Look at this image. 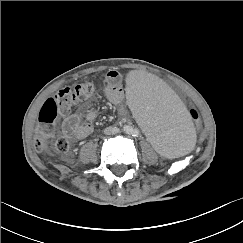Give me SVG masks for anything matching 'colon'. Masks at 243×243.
<instances>
[{
  "label": "colon",
  "instance_id": "1",
  "mask_svg": "<svg viewBox=\"0 0 243 243\" xmlns=\"http://www.w3.org/2000/svg\"><path fill=\"white\" fill-rule=\"evenodd\" d=\"M95 87L90 82H83L74 87H65L55 93V95L47 99L39 112L38 125L34 135V146L37 150L44 149L48 141L53 139L56 128L55 120L59 114H66L78 102L85 101L93 97ZM186 109L193 120L194 130L197 132V139H204L203 124L200 113L194 104L189 103ZM54 146L59 152H67L69 142L65 138H58L54 142Z\"/></svg>",
  "mask_w": 243,
  "mask_h": 243
}]
</instances>
